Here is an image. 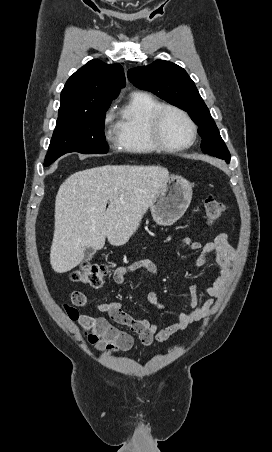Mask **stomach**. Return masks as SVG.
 I'll return each instance as SVG.
<instances>
[{
	"mask_svg": "<svg viewBox=\"0 0 272 452\" xmlns=\"http://www.w3.org/2000/svg\"><path fill=\"white\" fill-rule=\"evenodd\" d=\"M191 199L190 183L179 175H169L150 205L153 220L161 226L174 224L185 213Z\"/></svg>",
	"mask_w": 272,
	"mask_h": 452,
	"instance_id": "1",
	"label": "stomach"
}]
</instances>
